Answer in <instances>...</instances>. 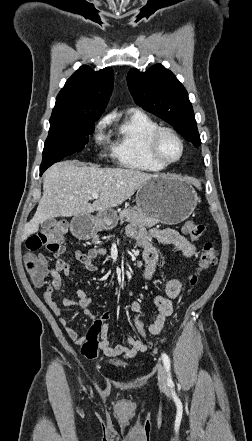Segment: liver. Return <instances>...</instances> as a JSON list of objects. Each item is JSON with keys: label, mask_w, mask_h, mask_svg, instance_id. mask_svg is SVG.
Returning a JSON list of instances; mask_svg holds the SVG:
<instances>
[{"label": "liver", "mask_w": 252, "mask_h": 441, "mask_svg": "<svg viewBox=\"0 0 252 441\" xmlns=\"http://www.w3.org/2000/svg\"><path fill=\"white\" fill-rule=\"evenodd\" d=\"M156 175L123 168H99L73 161L54 164L44 174L43 195L22 240L38 232L39 225L56 217L88 215L121 205ZM99 197L91 204L92 194Z\"/></svg>", "instance_id": "1"}]
</instances>
